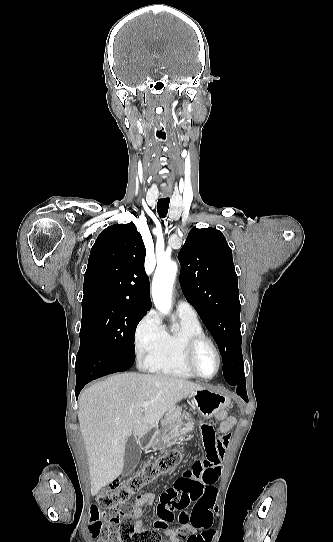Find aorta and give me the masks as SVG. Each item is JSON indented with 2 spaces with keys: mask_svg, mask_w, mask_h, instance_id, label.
<instances>
[{
  "mask_svg": "<svg viewBox=\"0 0 333 542\" xmlns=\"http://www.w3.org/2000/svg\"><path fill=\"white\" fill-rule=\"evenodd\" d=\"M177 272V264L170 262L163 268L157 266L152 282L153 302L162 314H168L172 308V286Z\"/></svg>",
  "mask_w": 333,
  "mask_h": 542,
  "instance_id": "obj_1",
  "label": "aorta"
}]
</instances>
